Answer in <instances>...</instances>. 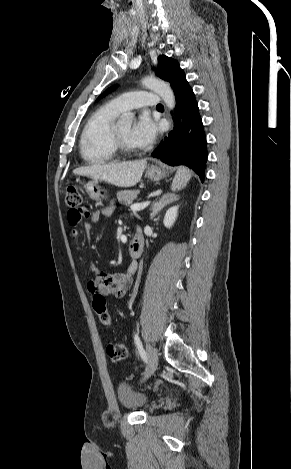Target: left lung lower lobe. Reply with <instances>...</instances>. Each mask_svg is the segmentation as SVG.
<instances>
[{
    "mask_svg": "<svg viewBox=\"0 0 291 469\" xmlns=\"http://www.w3.org/2000/svg\"><path fill=\"white\" fill-rule=\"evenodd\" d=\"M176 97L174 129L152 156L171 166L186 165L205 178L207 141L194 92L182 74L172 87Z\"/></svg>",
    "mask_w": 291,
    "mask_h": 469,
    "instance_id": "1",
    "label": "left lung lower lobe"
}]
</instances>
